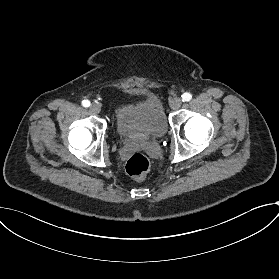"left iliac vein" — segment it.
Returning <instances> with one entry per match:
<instances>
[{"label":"left iliac vein","instance_id":"left-iliac-vein-1","mask_svg":"<svg viewBox=\"0 0 279 279\" xmlns=\"http://www.w3.org/2000/svg\"><path fill=\"white\" fill-rule=\"evenodd\" d=\"M181 104H182V100L179 97L173 98L169 103L170 108H172L173 110L179 109Z\"/></svg>","mask_w":279,"mask_h":279}]
</instances>
